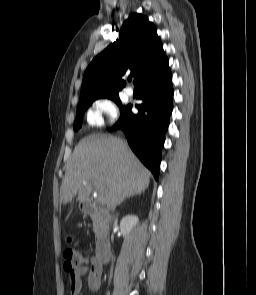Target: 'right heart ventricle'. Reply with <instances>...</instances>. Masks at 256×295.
<instances>
[{"instance_id": "1", "label": "right heart ventricle", "mask_w": 256, "mask_h": 295, "mask_svg": "<svg viewBox=\"0 0 256 295\" xmlns=\"http://www.w3.org/2000/svg\"><path fill=\"white\" fill-rule=\"evenodd\" d=\"M89 123L92 124V125L96 124V121H95V119H94L92 113H91L90 116H89Z\"/></svg>"}]
</instances>
